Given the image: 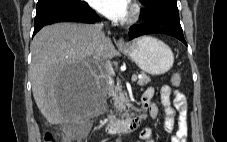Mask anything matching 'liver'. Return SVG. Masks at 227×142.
<instances>
[{
    "label": "liver",
    "mask_w": 227,
    "mask_h": 142,
    "mask_svg": "<svg viewBox=\"0 0 227 142\" xmlns=\"http://www.w3.org/2000/svg\"><path fill=\"white\" fill-rule=\"evenodd\" d=\"M30 75L35 102L50 124L67 123L77 117L81 91L86 81L94 87L99 76L91 68L92 61L103 62L116 54L109 38L96 44L92 26L58 23L42 28L31 42ZM75 68L79 78H57Z\"/></svg>",
    "instance_id": "obj_1"
}]
</instances>
